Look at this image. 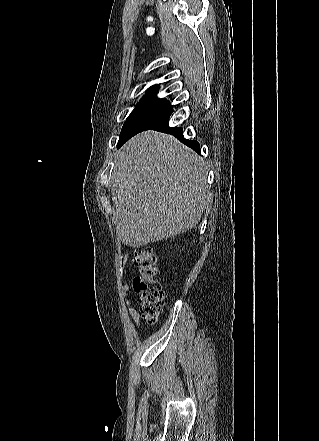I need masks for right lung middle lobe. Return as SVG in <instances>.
Returning a JSON list of instances; mask_svg holds the SVG:
<instances>
[{
	"label": "right lung middle lobe",
	"instance_id": "obj_1",
	"mask_svg": "<svg viewBox=\"0 0 319 441\" xmlns=\"http://www.w3.org/2000/svg\"><path fill=\"white\" fill-rule=\"evenodd\" d=\"M172 110L167 101L142 99L127 118L117 144L121 147L127 140L143 131L157 118Z\"/></svg>",
	"mask_w": 319,
	"mask_h": 441
}]
</instances>
